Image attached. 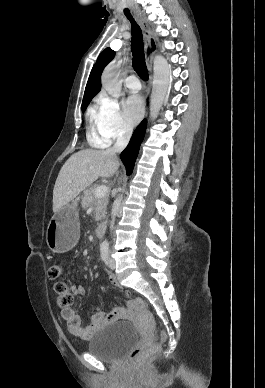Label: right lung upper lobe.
Returning a JSON list of instances; mask_svg holds the SVG:
<instances>
[{
  "mask_svg": "<svg viewBox=\"0 0 265 388\" xmlns=\"http://www.w3.org/2000/svg\"><path fill=\"white\" fill-rule=\"evenodd\" d=\"M115 52L106 48L98 57L96 63L94 64L89 80L86 85L84 98L82 105L90 102L92 98L100 91L101 88V74L105 66L113 59Z\"/></svg>",
  "mask_w": 265,
  "mask_h": 388,
  "instance_id": "cb5924a9",
  "label": "right lung upper lobe"
}]
</instances>
